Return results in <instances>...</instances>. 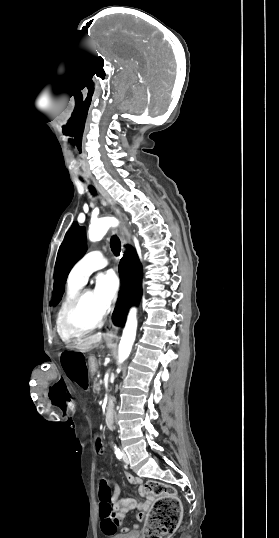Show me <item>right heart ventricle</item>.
<instances>
[{
  "instance_id": "1",
  "label": "right heart ventricle",
  "mask_w": 279,
  "mask_h": 538,
  "mask_svg": "<svg viewBox=\"0 0 279 538\" xmlns=\"http://www.w3.org/2000/svg\"><path fill=\"white\" fill-rule=\"evenodd\" d=\"M108 217L101 213L98 209L94 210L91 215V221L89 225V233L90 235H97V234H104L108 231ZM78 267V266H77ZM73 270L72 268L68 282L66 287L65 295L62 299V302L60 304V307L57 312L56 316V328L58 331V334L62 338L63 341L69 342L72 340L71 337L67 336L61 329V316L63 314V311L65 310L66 306L69 304V302L77 295V293L82 289L83 285L85 283H82L80 281H77L73 279Z\"/></svg>"
}]
</instances>
